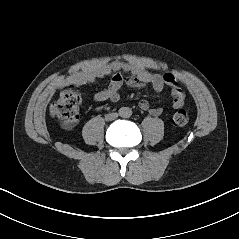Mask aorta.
Instances as JSON below:
<instances>
[{
	"label": "aorta",
	"instance_id": "1",
	"mask_svg": "<svg viewBox=\"0 0 239 239\" xmlns=\"http://www.w3.org/2000/svg\"><path fill=\"white\" fill-rule=\"evenodd\" d=\"M131 114H132V110L130 109V108H124L123 110H122V113H121V115L123 116V117H130L131 116Z\"/></svg>",
	"mask_w": 239,
	"mask_h": 239
}]
</instances>
